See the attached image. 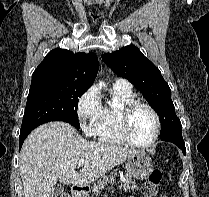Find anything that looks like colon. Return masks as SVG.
Segmentation results:
<instances>
[{"label":"colon","instance_id":"1","mask_svg":"<svg viewBox=\"0 0 209 197\" xmlns=\"http://www.w3.org/2000/svg\"><path fill=\"white\" fill-rule=\"evenodd\" d=\"M162 180V172L153 170L148 180L142 184L141 190L145 197H164L159 192L160 182ZM60 197H70L69 194L63 193Z\"/></svg>","mask_w":209,"mask_h":197}]
</instances>
